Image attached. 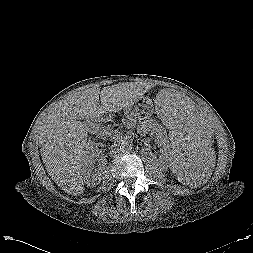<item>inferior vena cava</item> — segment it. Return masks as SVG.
<instances>
[{"label": "inferior vena cava", "mask_w": 253, "mask_h": 253, "mask_svg": "<svg viewBox=\"0 0 253 253\" xmlns=\"http://www.w3.org/2000/svg\"><path fill=\"white\" fill-rule=\"evenodd\" d=\"M96 130H99V128H96ZM120 153V149L118 147V144H114L112 147H111V151H110V154L111 156H116Z\"/></svg>", "instance_id": "602c4592"}]
</instances>
